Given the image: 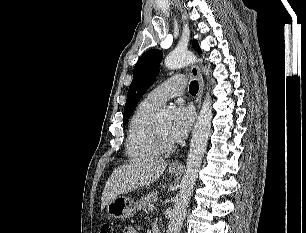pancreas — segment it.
<instances>
[{"instance_id":"1","label":"pancreas","mask_w":306,"mask_h":233,"mask_svg":"<svg viewBox=\"0 0 306 233\" xmlns=\"http://www.w3.org/2000/svg\"><path fill=\"white\" fill-rule=\"evenodd\" d=\"M157 198V192H152L142 196L136 204L137 210H142L146 208L149 204H152Z\"/></svg>"}]
</instances>
